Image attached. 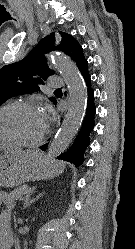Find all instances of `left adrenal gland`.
I'll list each match as a JSON object with an SVG mask.
<instances>
[{"mask_svg":"<svg viewBox=\"0 0 135 249\" xmlns=\"http://www.w3.org/2000/svg\"><path fill=\"white\" fill-rule=\"evenodd\" d=\"M42 195L39 194L36 198L30 199V196H27L24 200V205H23V209L27 208L28 206H30V204L36 202L38 200V198H40V196Z\"/></svg>","mask_w":135,"mask_h":249,"instance_id":"obj_1","label":"left adrenal gland"}]
</instances>
